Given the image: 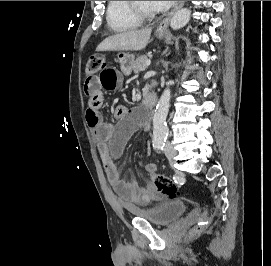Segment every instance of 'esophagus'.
<instances>
[{"mask_svg":"<svg viewBox=\"0 0 271 266\" xmlns=\"http://www.w3.org/2000/svg\"><path fill=\"white\" fill-rule=\"evenodd\" d=\"M185 1H178V3L175 5V7L172 9V11L167 15L166 18L159 24V26L156 28L157 33H163L167 30L170 20L174 13L179 10L183 5Z\"/></svg>","mask_w":271,"mask_h":266,"instance_id":"34e87169","label":"esophagus"}]
</instances>
